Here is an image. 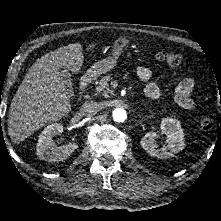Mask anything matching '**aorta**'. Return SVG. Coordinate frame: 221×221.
<instances>
[{
  "mask_svg": "<svg viewBox=\"0 0 221 221\" xmlns=\"http://www.w3.org/2000/svg\"><path fill=\"white\" fill-rule=\"evenodd\" d=\"M112 117L115 122H124L127 118L126 110L123 108H115L112 112Z\"/></svg>",
  "mask_w": 221,
  "mask_h": 221,
  "instance_id": "762f6f07",
  "label": "aorta"
}]
</instances>
